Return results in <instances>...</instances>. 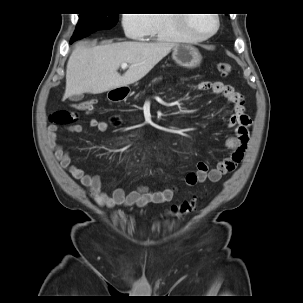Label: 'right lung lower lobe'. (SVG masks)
<instances>
[{
	"mask_svg": "<svg viewBox=\"0 0 303 303\" xmlns=\"http://www.w3.org/2000/svg\"><path fill=\"white\" fill-rule=\"evenodd\" d=\"M74 41H76V40H74V39H71L70 43H73Z\"/></svg>",
	"mask_w": 303,
	"mask_h": 303,
	"instance_id": "1",
	"label": "right lung lower lobe"
}]
</instances>
